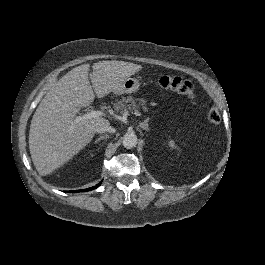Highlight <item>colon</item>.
Instances as JSON below:
<instances>
[{
	"mask_svg": "<svg viewBox=\"0 0 265 265\" xmlns=\"http://www.w3.org/2000/svg\"><path fill=\"white\" fill-rule=\"evenodd\" d=\"M158 82L162 88L174 90L188 99H194L195 97L192 83L182 77L165 75L160 77ZM207 117L211 124H218L221 120L219 109L215 106L211 107Z\"/></svg>",
	"mask_w": 265,
	"mask_h": 265,
	"instance_id": "5ec220e1",
	"label": "colon"
}]
</instances>
